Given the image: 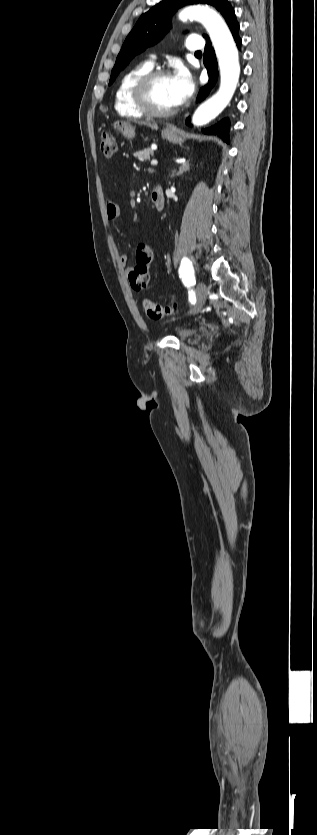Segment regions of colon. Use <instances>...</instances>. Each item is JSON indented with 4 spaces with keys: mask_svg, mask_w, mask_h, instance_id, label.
Segmentation results:
<instances>
[{
    "mask_svg": "<svg viewBox=\"0 0 317 835\" xmlns=\"http://www.w3.org/2000/svg\"><path fill=\"white\" fill-rule=\"evenodd\" d=\"M101 151L106 158L114 155L117 149V141L115 137L109 133H104L101 137ZM150 259H140L134 268L129 272L128 280L131 288L134 291L140 292L147 288L150 281ZM143 308L146 315L152 320H160L174 314L175 307L173 305H160L152 302L149 299L143 301Z\"/></svg>",
    "mask_w": 317,
    "mask_h": 835,
    "instance_id": "1",
    "label": "colon"
}]
</instances>
